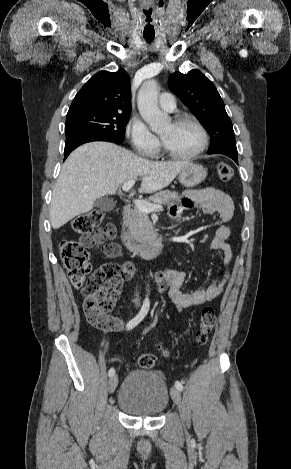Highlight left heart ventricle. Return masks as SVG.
<instances>
[{"instance_id":"1","label":"left heart ventricle","mask_w":291,"mask_h":469,"mask_svg":"<svg viewBox=\"0 0 291 469\" xmlns=\"http://www.w3.org/2000/svg\"><path fill=\"white\" fill-rule=\"evenodd\" d=\"M166 146L177 154L193 152L200 143L198 130L190 123H168L160 131Z\"/></svg>"}]
</instances>
